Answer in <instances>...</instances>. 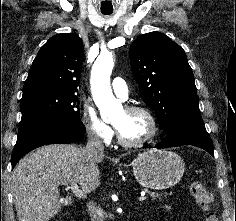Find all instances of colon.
<instances>
[{"mask_svg":"<svg viewBox=\"0 0 236 221\" xmlns=\"http://www.w3.org/2000/svg\"><path fill=\"white\" fill-rule=\"evenodd\" d=\"M190 193L205 213L204 221H218L213 207V197L207 188L200 182L190 184Z\"/></svg>","mask_w":236,"mask_h":221,"instance_id":"colon-1","label":"colon"}]
</instances>
